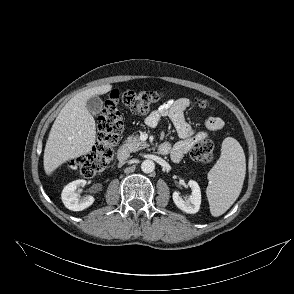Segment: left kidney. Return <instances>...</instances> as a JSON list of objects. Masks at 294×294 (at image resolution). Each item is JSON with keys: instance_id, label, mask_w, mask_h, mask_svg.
Wrapping results in <instances>:
<instances>
[{"instance_id": "1", "label": "left kidney", "mask_w": 294, "mask_h": 294, "mask_svg": "<svg viewBox=\"0 0 294 294\" xmlns=\"http://www.w3.org/2000/svg\"><path fill=\"white\" fill-rule=\"evenodd\" d=\"M188 185L192 191L188 199H182L178 192H174L172 197L175 205L180 210L189 214H194L200 209L201 191L198 183L194 180H189Z\"/></svg>"}]
</instances>
